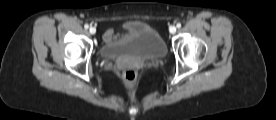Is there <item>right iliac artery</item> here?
Instances as JSON below:
<instances>
[{"label": "right iliac artery", "mask_w": 276, "mask_h": 120, "mask_svg": "<svg viewBox=\"0 0 276 120\" xmlns=\"http://www.w3.org/2000/svg\"><path fill=\"white\" fill-rule=\"evenodd\" d=\"M84 28H85V29H88V28H89V25H88V24H85V25H84Z\"/></svg>", "instance_id": "1"}]
</instances>
